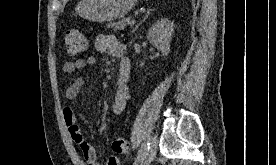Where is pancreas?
I'll return each mask as SVG.
<instances>
[{
	"label": "pancreas",
	"mask_w": 276,
	"mask_h": 165,
	"mask_svg": "<svg viewBox=\"0 0 276 165\" xmlns=\"http://www.w3.org/2000/svg\"><path fill=\"white\" fill-rule=\"evenodd\" d=\"M129 19H122L121 21L115 22V23H109L107 24L108 28H113L114 30H121L124 29L125 26L128 24Z\"/></svg>",
	"instance_id": "1"
}]
</instances>
